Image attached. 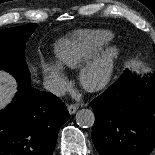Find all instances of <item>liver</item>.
I'll use <instances>...</instances> for the list:
<instances>
[{"instance_id":"obj_1","label":"liver","mask_w":155,"mask_h":155,"mask_svg":"<svg viewBox=\"0 0 155 155\" xmlns=\"http://www.w3.org/2000/svg\"><path fill=\"white\" fill-rule=\"evenodd\" d=\"M15 91V80L6 72H0V109L11 101Z\"/></svg>"}]
</instances>
